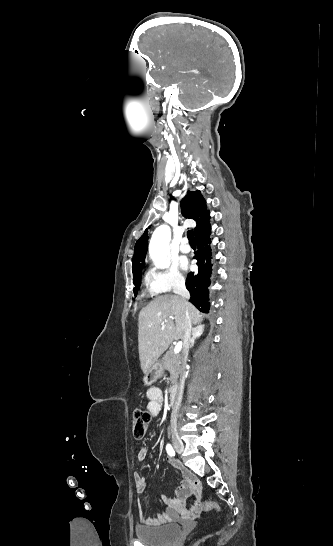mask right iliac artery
Returning <instances> with one entry per match:
<instances>
[{
  "label": "right iliac artery",
  "instance_id": "1",
  "mask_svg": "<svg viewBox=\"0 0 333 546\" xmlns=\"http://www.w3.org/2000/svg\"><path fill=\"white\" fill-rule=\"evenodd\" d=\"M166 451L170 456H175V451L173 447L171 446V444L166 445Z\"/></svg>",
  "mask_w": 333,
  "mask_h": 546
}]
</instances>
